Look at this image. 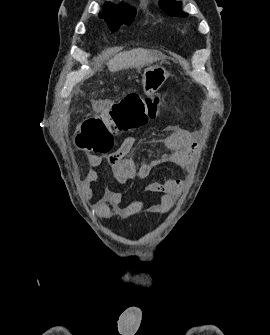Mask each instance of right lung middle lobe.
<instances>
[{
	"label": "right lung middle lobe",
	"mask_w": 270,
	"mask_h": 335,
	"mask_svg": "<svg viewBox=\"0 0 270 335\" xmlns=\"http://www.w3.org/2000/svg\"><path fill=\"white\" fill-rule=\"evenodd\" d=\"M135 14L136 11L133 8L118 6L104 8L103 15L100 13L99 17L104 18L111 31H116L122 24H131Z\"/></svg>",
	"instance_id": "right-lung-middle-lobe-1"
}]
</instances>
